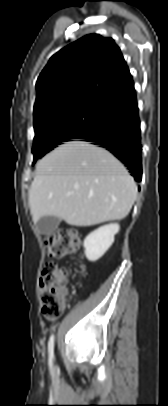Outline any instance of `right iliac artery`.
<instances>
[{
	"instance_id": "1",
	"label": "right iliac artery",
	"mask_w": 168,
	"mask_h": 406,
	"mask_svg": "<svg viewBox=\"0 0 168 406\" xmlns=\"http://www.w3.org/2000/svg\"><path fill=\"white\" fill-rule=\"evenodd\" d=\"M54 341H55V336L52 334L50 336L49 342H48V351H49V362L52 363L53 358H54Z\"/></svg>"
}]
</instances>
